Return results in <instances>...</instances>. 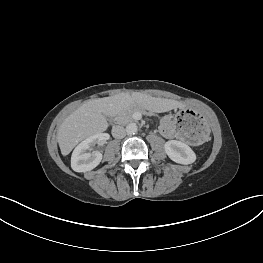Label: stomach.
I'll list each match as a JSON object with an SVG mask.
<instances>
[{"label": "stomach", "instance_id": "obj_1", "mask_svg": "<svg viewBox=\"0 0 263 263\" xmlns=\"http://www.w3.org/2000/svg\"><path fill=\"white\" fill-rule=\"evenodd\" d=\"M173 125L181 138L193 145L204 143L211 133L207 120L190 108L180 109L174 117Z\"/></svg>", "mask_w": 263, "mask_h": 263}]
</instances>
